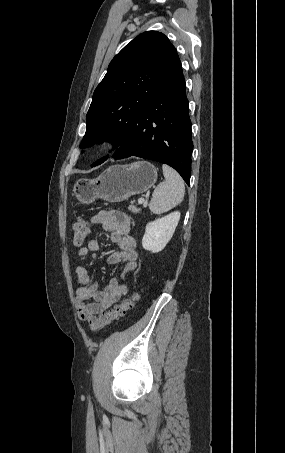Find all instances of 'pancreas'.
Wrapping results in <instances>:
<instances>
[{
  "instance_id": "obj_1",
  "label": "pancreas",
  "mask_w": 285,
  "mask_h": 453,
  "mask_svg": "<svg viewBox=\"0 0 285 453\" xmlns=\"http://www.w3.org/2000/svg\"><path fill=\"white\" fill-rule=\"evenodd\" d=\"M129 210L132 212V213H139L141 210L136 208L135 206L131 205L129 206Z\"/></svg>"
}]
</instances>
